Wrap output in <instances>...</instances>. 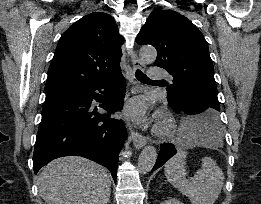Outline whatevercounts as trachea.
<instances>
[{
	"instance_id": "1",
	"label": "trachea",
	"mask_w": 261,
	"mask_h": 204,
	"mask_svg": "<svg viewBox=\"0 0 261 204\" xmlns=\"http://www.w3.org/2000/svg\"><path fill=\"white\" fill-rule=\"evenodd\" d=\"M135 76L141 82H151L152 81L140 70L136 71Z\"/></svg>"
}]
</instances>
